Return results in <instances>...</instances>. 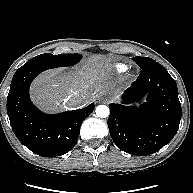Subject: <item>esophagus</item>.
<instances>
[{"label": "esophagus", "instance_id": "obj_1", "mask_svg": "<svg viewBox=\"0 0 193 193\" xmlns=\"http://www.w3.org/2000/svg\"><path fill=\"white\" fill-rule=\"evenodd\" d=\"M105 99L102 97V96H97L96 98H95V102L96 103H101V102H103Z\"/></svg>", "mask_w": 193, "mask_h": 193}]
</instances>
